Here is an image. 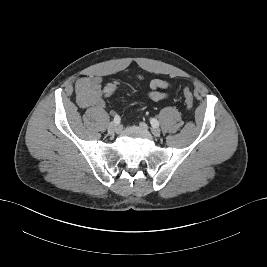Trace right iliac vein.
<instances>
[{
  "mask_svg": "<svg viewBox=\"0 0 267 267\" xmlns=\"http://www.w3.org/2000/svg\"><path fill=\"white\" fill-rule=\"evenodd\" d=\"M118 130V124H116L115 122H111L108 125V133L109 134H114L115 132H117Z\"/></svg>",
  "mask_w": 267,
  "mask_h": 267,
  "instance_id": "63e3f726",
  "label": "right iliac vein"
}]
</instances>
